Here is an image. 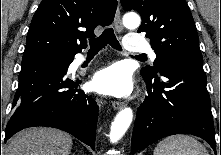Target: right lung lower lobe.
<instances>
[{
  "label": "right lung lower lobe",
  "instance_id": "98d812e1",
  "mask_svg": "<svg viewBox=\"0 0 221 155\" xmlns=\"http://www.w3.org/2000/svg\"><path fill=\"white\" fill-rule=\"evenodd\" d=\"M72 61L49 54L23 57L5 142L24 128L48 126L64 130L95 149L98 105L77 89L80 80L65 77Z\"/></svg>",
  "mask_w": 221,
  "mask_h": 155
}]
</instances>
